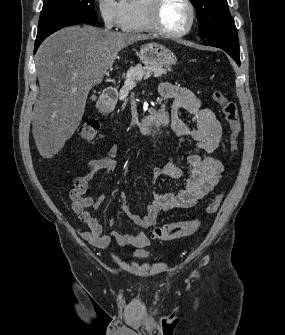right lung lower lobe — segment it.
Wrapping results in <instances>:
<instances>
[{"label": "right lung lower lobe", "instance_id": "98d812e1", "mask_svg": "<svg viewBox=\"0 0 285 335\" xmlns=\"http://www.w3.org/2000/svg\"><path fill=\"white\" fill-rule=\"evenodd\" d=\"M81 21H77V20H69V21H65V22H61L53 27H51L50 29H48L45 32L42 33H37V38L35 41V49H34V53H36L38 47L40 46V44L44 41V39L46 37H48L50 34H52L53 32L69 25V24H74V23H80Z\"/></svg>", "mask_w": 285, "mask_h": 335}]
</instances>
